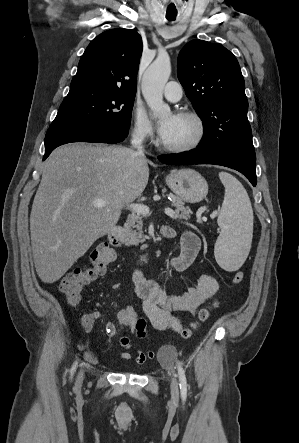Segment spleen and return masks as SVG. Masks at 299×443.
<instances>
[{"label":"spleen","mask_w":299,"mask_h":443,"mask_svg":"<svg viewBox=\"0 0 299 443\" xmlns=\"http://www.w3.org/2000/svg\"><path fill=\"white\" fill-rule=\"evenodd\" d=\"M225 195L218 225L221 229L214 247L218 265L226 271L238 270L250 251L253 232V210L242 184L231 174L220 172Z\"/></svg>","instance_id":"1"}]
</instances>
